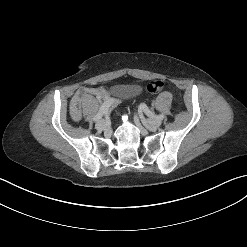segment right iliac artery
I'll return each mask as SVG.
<instances>
[{"mask_svg": "<svg viewBox=\"0 0 247 247\" xmlns=\"http://www.w3.org/2000/svg\"><path fill=\"white\" fill-rule=\"evenodd\" d=\"M115 101L116 100L113 98L107 99L100 107L98 113L93 118V121L98 122L105 114H107L110 110V107L115 103Z\"/></svg>", "mask_w": 247, "mask_h": 247, "instance_id": "82829eb1", "label": "right iliac artery"}]
</instances>
